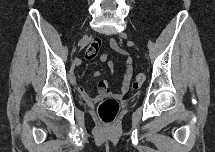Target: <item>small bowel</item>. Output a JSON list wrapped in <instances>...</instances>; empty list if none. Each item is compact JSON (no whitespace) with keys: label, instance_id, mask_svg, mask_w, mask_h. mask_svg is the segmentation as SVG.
<instances>
[{"label":"small bowel","instance_id":"obj_1","mask_svg":"<svg viewBox=\"0 0 215 152\" xmlns=\"http://www.w3.org/2000/svg\"><path fill=\"white\" fill-rule=\"evenodd\" d=\"M110 47L111 50L118 53L119 55H121L124 60H125V64H126V68H125V73L121 82V89L120 92L117 94L118 97H122L124 96L128 89H129V84H130V79H131V74H132V63H133V58L132 56L129 54V52H127L126 50H124L123 48H121L117 41L115 39H110ZM109 55L107 53L102 54V59L103 60H108ZM80 63V61H76V64L78 65ZM108 63L110 66H113V62L111 60H108ZM100 75V73L98 71H95L93 73L94 77H98ZM71 79L73 81V83L76 85L78 92L80 93V95L82 96V98L87 101L88 103H96L98 100H100L102 97L107 95V88H108V82L106 80H100L98 82L97 85V89H98V94L96 96H91L84 87L79 86L76 84L75 82V76L72 73L71 74Z\"/></svg>","mask_w":215,"mask_h":152}]
</instances>
